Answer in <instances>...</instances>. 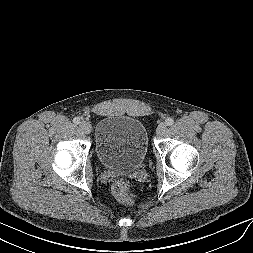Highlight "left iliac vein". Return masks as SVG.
<instances>
[{
	"label": "left iliac vein",
	"instance_id": "1",
	"mask_svg": "<svg viewBox=\"0 0 253 253\" xmlns=\"http://www.w3.org/2000/svg\"><path fill=\"white\" fill-rule=\"evenodd\" d=\"M167 126L165 123H160L156 129L157 136H162L166 132Z\"/></svg>",
	"mask_w": 253,
	"mask_h": 253
}]
</instances>
